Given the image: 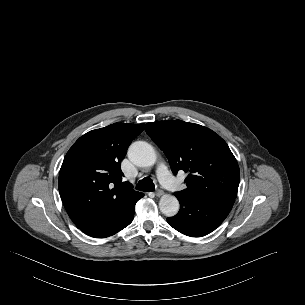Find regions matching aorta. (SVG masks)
I'll return each instance as SVG.
<instances>
[{"instance_id":"obj_1","label":"aorta","mask_w":305,"mask_h":305,"mask_svg":"<svg viewBox=\"0 0 305 305\" xmlns=\"http://www.w3.org/2000/svg\"><path fill=\"white\" fill-rule=\"evenodd\" d=\"M128 158L140 167L152 166L156 162V152L147 142L136 141L128 149ZM179 201L170 194L163 195L159 200L160 211L168 217L176 215L179 211Z\"/></svg>"}]
</instances>
